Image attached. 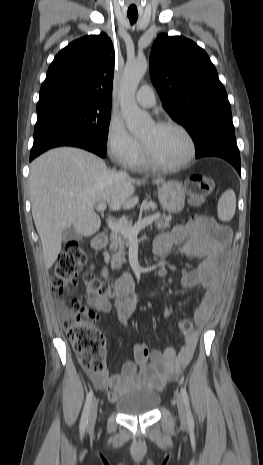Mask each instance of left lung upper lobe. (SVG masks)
<instances>
[{
  "label": "left lung upper lobe",
  "mask_w": 263,
  "mask_h": 465,
  "mask_svg": "<svg viewBox=\"0 0 263 465\" xmlns=\"http://www.w3.org/2000/svg\"><path fill=\"white\" fill-rule=\"evenodd\" d=\"M150 75L165 110L183 125L196 149L219 132H234L231 107L206 52L182 36H158Z\"/></svg>",
  "instance_id": "left-lung-upper-lobe-1"
}]
</instances>
